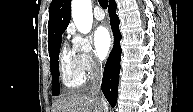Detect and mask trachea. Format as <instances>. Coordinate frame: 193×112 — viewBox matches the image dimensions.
<instances>
[{"label":"trachea","mask_w":193,"mask_h":112,"mask_svg":"<svg viewBox=\"0 0 193 112\" xmlns=\"http://www.w3.org/2000/svg\"><path fill=\"white\" fill-rule=\"evenodd\" d=\"M99 4L103 9H106L108 6V0H99Z\"/></svg>","instance_id":"obj_1"}]
</instances>
